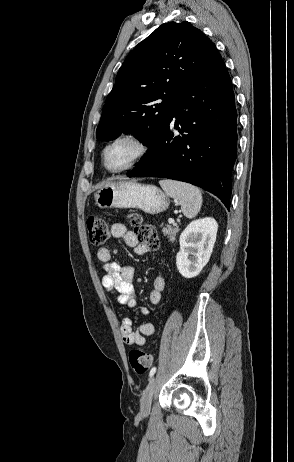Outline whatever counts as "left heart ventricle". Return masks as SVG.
Listing matches in <instances>:
<instances>
[{
  "mask_svg": "<svg viewBox=\"0 0 294 462\" xmlns=\"http://www.w3.org/2000/svg\"><path fill=\"white\" fill-rule=\"evenodd\" d=\"M136 147L128 142L121 141L112 146L106 153V164L110 168L124 166L135 154Z\"/></svg>",
  "mask_w": 294,
  "mask_h": 462,
  "instance_id": "1",
  "label": "left heart ventricle"
}]
</instances>
